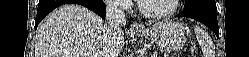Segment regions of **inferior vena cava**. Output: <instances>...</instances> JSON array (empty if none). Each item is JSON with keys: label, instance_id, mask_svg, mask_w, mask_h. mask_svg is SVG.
<instances>
[{"label": "inferior vena cava", "instance_id": "obj_1", "mask_svg": "<svg viewBox=\"0 0 249 57\" xmlns=\"http://www.w3.org/2000/svg\"><path fill=\"white\" fill-rule=\"evenodd\" d=\"M107 29L110 34H116L121 27L126 25V17L124 11L115 3L110 2L106 11Z\"/></svg>", "mask_w": 249, "mask_h": 57}]
</instances>
